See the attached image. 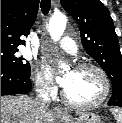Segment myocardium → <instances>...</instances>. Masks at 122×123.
Segmentation results:
<instances>
[{"mask_svg":"<svg viewBox=\"0 0 122 123\" xmlns=\"http://www.w3.org/2000/svg\"><path fill=\"white\" fill-rule=\"evenodd\" d=\"M86 68L94 69L101 76L103 83H104L103 94L98 99L90 101V102H77V101H74L71 98H69L65 89H63L62 93H61L62 99L69 106L77 107V108L95 107V106L102 104L104 101H106V99L110 95L111 82H110V79H109L107 73L104 71V69H102L99 65H97L95 63H91V62H81V63L76 64L74 67L75 70H81V69H86Z\"/></svg>","mask_w":122,"mask_h":123,"instance_id":"myocardium-1","label":"myocardium"}]
</instances>
